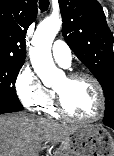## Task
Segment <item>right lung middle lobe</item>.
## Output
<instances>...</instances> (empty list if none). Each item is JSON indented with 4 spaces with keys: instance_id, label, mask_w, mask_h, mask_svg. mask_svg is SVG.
<instances>
[{
    "instance_id": "obj_1",
    "label": "right lung middle lobe",
    "mask_w": 114,
    "mask_h": 156,
    "mask_svg": "<svg viewBox=\"0 0 114 156\" xmlns=\"http://www.w3.org/2000/svg\"><path fill=\"white\" fill-rule=\"evenodd\" d=\"M24 61L0 59V107L22 110L15 82Z\"/></svg>"
}]
</instances>
